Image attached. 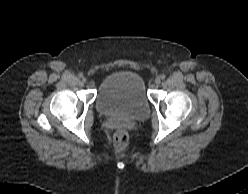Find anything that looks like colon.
I'll return each instance as SVG.
<instances>
[{
	"instance_id": "5ec220e1",
	"label": "colon",
	"mask_w": 248,
	"mask_h": 194,
	"mask_svg": "<svg viewBox=\"0 0 248 194\" xmlns=\"http://www.w3.org/2000/svg\"><path fill=\"white\" fill-rule=\"evenodd\" d=\"M113 146L117 153L125 152L129 146V138L125 131L119 130L113 138Z\"/></svg>"
}]
</instances>
